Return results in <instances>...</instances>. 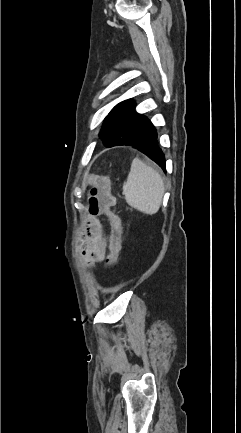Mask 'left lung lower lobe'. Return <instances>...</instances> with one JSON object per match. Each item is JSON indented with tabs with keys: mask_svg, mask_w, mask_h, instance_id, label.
Segmentation results:
<instances>
[{
	"mask_svg": "<svg viewBox=\"0 0 241 433\" xmlns=\"http://www.w3.org/2000/svg\"><path fill=\"white\" fill-rule=\"evenodd\" d=\"M125 145H130L137 148L142 153L146 154L150 159L156 162L164 171H166L165 157L162 150L158 146L157 132L152 127L146 134L135 138Z\"/></svg>",
	"mask_w": 241,
	"mask_h": 433,
	"instance_id": "left-lung-lower-lobe-1",
	"label": "left lung lower lobe"
}]
</instances>
